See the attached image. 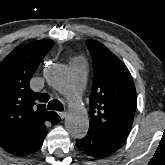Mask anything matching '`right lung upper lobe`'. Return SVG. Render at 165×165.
<instances>
[{
  "mask_svg": "<svg viewBox=\"0 0 165 165\" xmlns=\"http://www.w3.org/2000/svg\"><path fill=\"white\" fill-rule=\"evenodd\" d=\"M52 40H39L16 47L0 62V144L14 153L46 132V124L59 118L45 109L48 94L31 90L30 79L53 47Z\"/></svg>",
  "mask_w": 165,
  "mask_h": 165,
  "instance_id": "cb5924a9",
  "label": "right lung upper lobe"
}]
</instances>
